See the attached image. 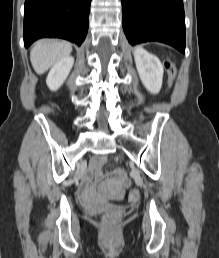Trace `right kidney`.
Listing matches in <instances>:
<instances>
[{
    "mask_svg": "<svg viewBox=\"0 0 219 258\" xmlns=\"http://www.w3.org/2000/svg\"><path fill=\"white\" fill-rule=\"evenodd\" d=\"M73 64L74 58L71 56L64 57L55 63L48 73L47 86L53 91L57 90L69 75Z\"/></svg>",
    "mask_w": 219,
    "mask_h": 258,
    "instance_id": "1",
    "label": "right kidney"
}]
</instances>
